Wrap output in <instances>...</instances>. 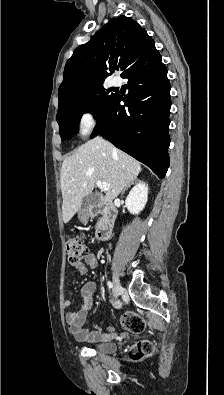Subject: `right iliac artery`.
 I'll use <instances>...</instances> for the list:
<instances>
[{
  "label": "right iliac artery",
  "instance_id": "right-iliac-artery-1",
  "mask_svg": "<svg viewBox=\"0 0 224 395\" xmlns=\"http://www.w3.org/2000/svg\"><path fill=\"white\" fill-rule=\"evenodd\" d=\"M107 286H108L110 289H113V284H112L111 281H108V282H107Z\"/></svg>",
  "mask_w": 224,
  "mask_h": 395
}]
</instances>
